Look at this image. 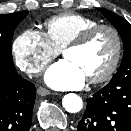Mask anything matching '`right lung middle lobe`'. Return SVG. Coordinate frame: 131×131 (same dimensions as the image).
I'll return each instance as SVG.
<instances>
[{
	"mask_svg": "<svg viewBox=\"0 0 131 131\" xmlns=\"http://www.w3.org/2000/svg\"><path fill=\"white\" fill-rule=\"evenodd\" d=\"M28 11L0 15V60L13 61L11 42L17 25L27 16Z\"/></svg>",
	"mask_w": 131,
	"mask_h": 131,
	"instance_id": "obj_1",
	"label": "right lung middle lobe"
}]
</instances>
